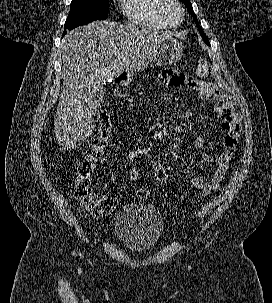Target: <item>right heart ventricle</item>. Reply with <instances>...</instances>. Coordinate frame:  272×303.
Segmentation results:
<instances>
[{"label": "right heart ventricle", "mask_w": 272, "mask_h": 303, "mask_svg": "<svg viewBox=\"0 0 272 303\" xmlns=\"http://www.w3.org/2000/svg\"><path fill=\"white\" fill-rule=\"evenodd\" d=\"M161 2L162 0H123V9L128 21L132 24L153 29H165L168 26L159 16Z\"/></svg>", "instance_id": "right-heart-ventricle-1"}]
</instances>
